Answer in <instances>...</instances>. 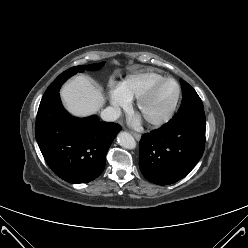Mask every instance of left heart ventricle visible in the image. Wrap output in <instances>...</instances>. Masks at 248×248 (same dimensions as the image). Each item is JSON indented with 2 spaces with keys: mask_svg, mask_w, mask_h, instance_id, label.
Segmentation results:
<instances>
[{
  "mask_svg": "<svg viewBox=\"0 0 248 248\" xmlns=\"http://www.w3.org/2000/svg\"><path fill=\"white\" fill-rule=\"evenodd\" d=\"M175 97V85L172 83L163 84L146 101L140 113L146 120L159 118L169 110Z\"/></svg>",
  "mask_w": 248,
  "mask_h": 248,
  "instance_id": "left-heart-ventricle-1",
  "label": "left heart ventricle"
}]
</instances>
